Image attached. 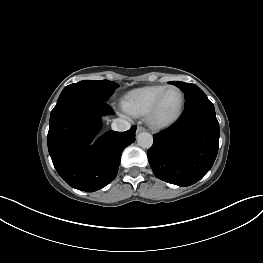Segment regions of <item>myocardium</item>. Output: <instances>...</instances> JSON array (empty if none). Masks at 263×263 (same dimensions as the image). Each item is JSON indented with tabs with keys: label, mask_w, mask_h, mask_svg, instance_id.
I'll list each match as a JSON object with an SVG mask.
<instances>
[{
	"label": "myocardium",
	"mask_w": 263,
	"mask_h": 263,
	"mask_svg": "<svg viewBox=\"0 0 263 263\" xmlns=\"http://www.w3.org/2000/svg\"><path fill=\"white\" fill-rule=\"evenodd\" d=\"M170 90H177L181 94V105L179 110L174 114L171 118L166 119V120H159L157 118V114L160 108V105L165 97V95L170 91ZM186 104V97L182 89H180L177 86H167L161 93L160 95L156 98L154 103L152 104L150 110L148 111L146 115V121L148 125L154 129H165L171 125H173L175 122H177L180 117L182 116L184 112Z\"/></svg>",
	"instance_id": "myocardium-1"
}]
</instances>
